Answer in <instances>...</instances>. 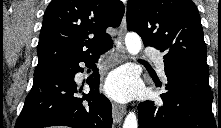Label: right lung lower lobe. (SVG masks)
Listing matches in <instances>:
<instances>
[{"label":"right lung lower lobe","mask_w":221,"mask_h":128,"mask_svg":"<svg viewBox=\"0 0 221 128\" xmlns=\"http://www.w3.org/2000/svg\"><path fill=\"white\" fill-rule=\"evenodd\" d=\"M110 48L111 45L107 46L99 54ZM99 54L89 59H75L35 75L15 128H44L54 125L111 128V103L104 95L99 94V73L94 67ZM81 61L88 67H94V72L88 79L90 92L83 94V98H76L74 93H77V85L74 76L77 72H83V68L79 66ZM84 100L88 104H84Z\"/></svg>","instance_id":"1"}]
</instances>
